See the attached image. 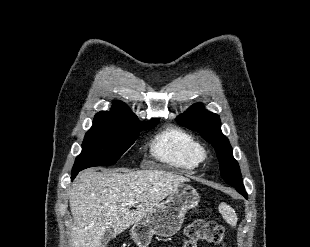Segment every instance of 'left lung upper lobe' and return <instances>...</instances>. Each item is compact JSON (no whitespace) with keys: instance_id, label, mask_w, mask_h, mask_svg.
<instances>
[{"instance_id":"1","label":"left lung upper lobe","mask_w":310,"mask_h":247,"mask_svg":"<svg viewBox=\"0 0 310 247\" xmlns=\"http://www.w3.org/2000/svg\"><path fill=\"white\" fill-rule=\"evenodd\" d=\"M176 120L180 125L198 131L215 148L221 176L229 185H243L238 162L233 158L228 138L221 132V122L217 114L205 111L201 103H196Z\"/></svg>"}]
</instances>
